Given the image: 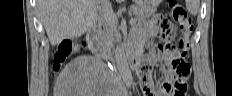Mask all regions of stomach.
<instances>
[{"label": "stomach", "instance_id": "stomach-1", "mask_svg": "<svg viewBox=\"0 0 232 96\" xmlns=\"http://www.w3.org/2000/svg\"><path fill=\"white\" fill-rule=\"evenodd\" d=\"M152 1H149V0H144V3L145 4H150Z\"/></svg>", "mask_w": 232, "mask_h": 96}]
</instances>
